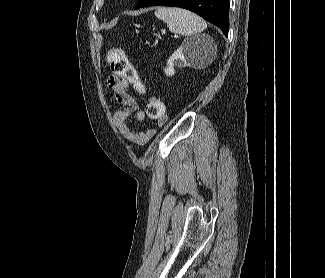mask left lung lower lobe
Returning <instances> with one entry per match:
<instances>
[{
	"label": "left lung lower lobe",
	"instance_id": "1",
	"mask_svg": "<svg viewBox=\"0 0 325 278\" xmlns=\"http://www.w3.org/2000/svg\"><path fill=\"white\" fill-rule=\"evenodd\" d=\"M147 6H173L188 9L218 26L228 35L229 0H138L134 9Z\"/></svg>",
	"mask_w": 325,
	"mask_h": 278
}]
</instances>
